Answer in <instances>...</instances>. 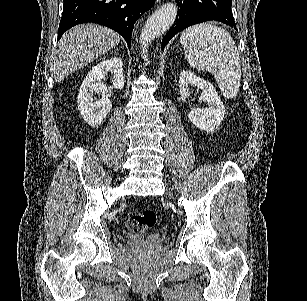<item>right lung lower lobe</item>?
<instances>
[{"mask_svg": "<svg viewBox=\"0 0 307 301\" xmlns=\"http://www.w3.org/2000/svg\"><path fill=\"white\" fill-rule=\"evenodd\" d=\"M58 40L69 28L94 22L117 31L131 46V34L138 16L151 9L155 0H63Z\"/></svg>", "mask_w": 307, "mask_h": 301, "instance_id": "right-lung-lower-lobe-1", "label": "right lung lower lobe"}]
</instances>
